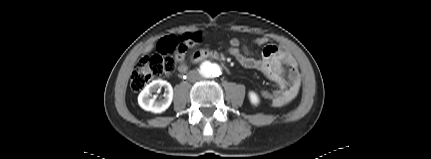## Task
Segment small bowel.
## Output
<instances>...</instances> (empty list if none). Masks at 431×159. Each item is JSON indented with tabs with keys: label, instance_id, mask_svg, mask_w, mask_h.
<instances>
[{
	"label": "small bowel",
	"instance_id": "c3829d8e",
	"mask_svg": "<svg viewBox=\"0 0 431 159\" xmlns=\"http://www.w3.org/2000/svg\"><path fill=\"white\" fill-rule=\"evenodd\" d=\"M256 45L263 46L259 57L253 56L245 45H242L238 39H231L229 45L223 46L224 52H229L230 47H243V53L240 56H233L246 68H253L263 72L266 77L277 84L279 89L271 92L269 104L273 107L283 106L290 103L297 96L301 77L297 64L293 56L283 48L271 43L267 37L257 38ZM187 70V64L182 57H179V71L184 73ZM268 93V92H267Z\"/></svg>",
	"mask_w": 431,
	"mask_h": 159
}]
</instances>
